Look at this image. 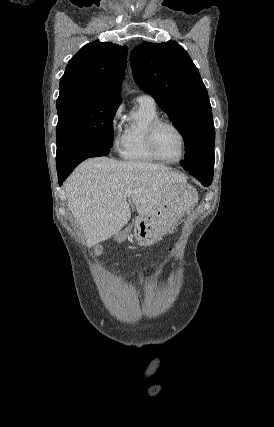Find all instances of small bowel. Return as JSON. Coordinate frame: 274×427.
I'll use <instances>...</instances> for the list:
<instances>
[{"label":"small bowel","mask_w":274,"mask_h":427,"mask_svg":"<svg viewBox=\"0 0 274 427\" xmlns=\"http://www.w3.org/2000/svg\"><path fill=\"white\" fill-rule=\"evenodd\" d=\"M170 250H177V247H170ZM169 259H172V256H169Z\"/></svg>","instance_id":"small-bowel-1"}]
</instances>
